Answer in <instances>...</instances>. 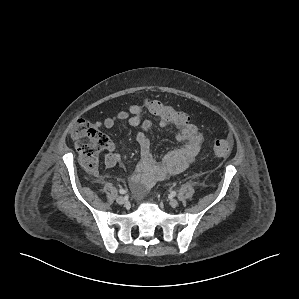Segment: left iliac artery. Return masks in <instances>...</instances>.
Instances as JSON below:
<instances>
[{"label": "left iliac artery", "instance_id": "obj_1", "mask_svg": "<svg viewBox=\"0 0 299 299\" xmlns=\"http://www.w3.org/2000/svg\"><path fill=\"white\" fill-rule=\"evenodd\" d=\"M176 195V192L175 191H172L171 192V196H175Z\"/></svg>", "mask_w": 299, "mask_h": 299}]
</instances>
